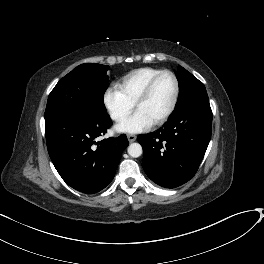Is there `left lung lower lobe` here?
Here are the masks:
<instances>
[{
    "mask_svg": "<svg viewBox=\"0 0 264 264\" xmlns=\"http://www.w3.org/2000/svg\"><path fill=\"white\" fill-rule=\"evenodd\" d=\"M212 132V111L208 98L192 100L177 111L156 132L141 134L147 176L165 188L189 181L197 172Z\"/></svg>",
    "mask_w": 264,
    "mask_h": 264,
    "instance_id": "0a47b994",
    "label": "left lung lower lobe"
}]
</instances>
